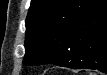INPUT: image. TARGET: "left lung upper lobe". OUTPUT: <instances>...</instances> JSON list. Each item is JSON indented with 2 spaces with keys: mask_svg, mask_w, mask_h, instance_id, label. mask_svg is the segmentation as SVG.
Returning <instances> with one entry per match:
<instances>
[{
  "mask_svg": "<svg viewBox=\"0 0 107 75\" xmlns=\"http://www.w3.org/2000/svg\"><path fill=\"white\" fill-rule=\"evenodd\" d=\"M96 2L32 0L26 18V54L23 63L55 64L52 51L75 40L78 22L92 10Z\"/></svg>",
  "mask_w": 107,
  "mask_h": 75,
  "instance_id": "obj_1",
  "label": "left lung upper lobe"
}]
</instances>
